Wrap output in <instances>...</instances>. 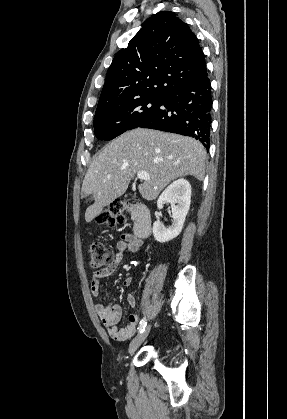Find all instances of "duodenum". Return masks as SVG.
<instances>
[{
    "label": "duodenum",
    "mask_w": 287,
    "mask_h": 419,
    "mask_svg": "<svg viewBox=\"0 0 287 419\" xmlns=\"http://www.w3.org/2000/svg\"><path fill=\"white\" fill-rule=\"evenodd\" d=\"M130 209L134 219L135 236L140 240L148 238L152 230L151 217L148 208L142 204H134Z\"/></svg>",
    "instance_id": "obj_1"
}]
</instances>
